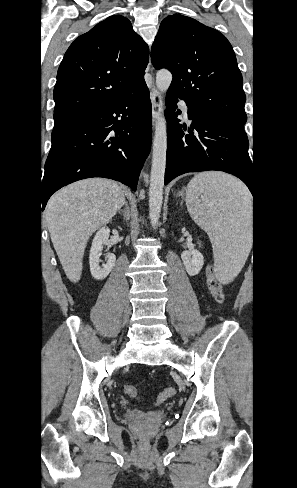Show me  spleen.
Segmentation results:
<instances>
[{
	"instance_id": "3e777b00",
	"label": "spleen",
	"mask_w": 297,
	"mask_h": 488,
	"mask_svg": "<svg viewBox=\"0 0 297 488\" xmlns=\"http://www.w3.org/2000/svg\"><path fill=\"white\" fill-rule=\"evenodd\" d=\"M186 205L210 238L219 279L232 280L250 251L251 195L247 188L231 175L199 173L187 186Z\"/></svg>"
}]
</instances>
